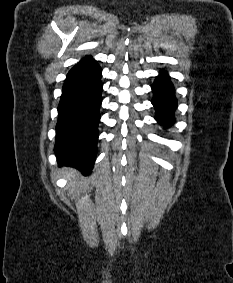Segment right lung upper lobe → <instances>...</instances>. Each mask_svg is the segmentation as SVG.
Wrapping results in <instances>:
<instances>
[{
	"label": "right lung upper lobe",
	"instance_id": "right-lung-upper-lobe-1",
	"mask_svg": "<svg viewBox=\"0 0 233 283\" xmlns=\"http://www.w3.org/2000/svg\"><path fill=\"white\" fill-rule=\"evenodd\" d=\"M88 54H89V55H92V54H93V51H92V50H89V51H88Z\"/></svg>",
	"mask_w": 233,
	"mask_h": 283
}]
</instances>
